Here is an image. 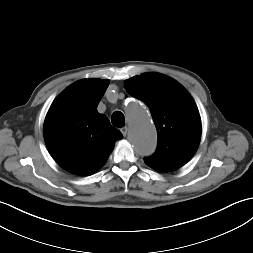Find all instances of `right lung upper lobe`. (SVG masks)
<instances>
[{
    "label": "right lung upper lobe",
    "instance_id": "1",
    "mask_svg": "<svg viewBox=\"0 0 253 253\" xmlns=\"http://www.w3.org/2000/svg\"><path fill=\"white\" fill-rule=\"evenodd\" d=\"M108 80L82 79L52 103L44 122V139L54 160L66 171L86 176L99 170L122 133L97 106Z\"/></svg>",
    "mask_w": 253,
    "mask_h": 253
}]
</instances>
